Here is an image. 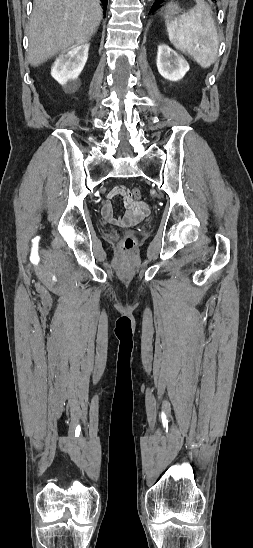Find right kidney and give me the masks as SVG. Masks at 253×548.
I'll return each instance as SVG.
<instances>
[{"label": "right kidney", "instance_id": "ca27d5eb", "mask_svg": "<svg viewBox=\"0 0 253 548\" xmlns=\"http://www.w3.org/2000/svg\"><path fill=\"white\" fill-rule=\"evenodd\" d=\"M88 50V43L74 45L61 52L54 62L51 75L66 91L77 90L79 86L77 79L88 59Z\"/></svg>", "mask_w": 253, "mask_h": 548}]
</instances>
